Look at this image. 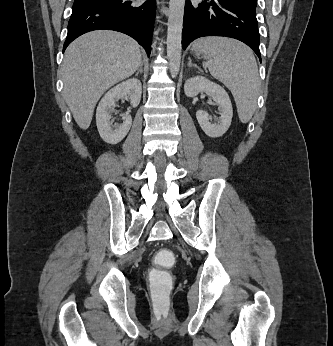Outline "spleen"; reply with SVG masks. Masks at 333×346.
<instances>
[{
  "label": "spleen",
  "mask_w": 333,
  "mask_h": 346,
  "mask_svg": "<svg viewBox=\"0 0 333 346\" xmlns=\"http://www.w3.org/2000/svg\"><path fill=\"white\" fill-rule=\"evenodd\" d=\"M192 50L204 54L210 74L232 93L239 119L247 123L253 116L260 88L258 67L249 47L225 37H203Z\"/></svg>",
  "instance_id": "obj_1"
}]
</instances>
